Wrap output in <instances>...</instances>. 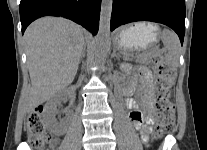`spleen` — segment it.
Listing matches in <instances>:
<instances>
[{"label":"spleen","instance_id":"obj_1","mask_svg":"<svg viewBox=\"0 0 207 150\" xmlns=\"http://www.w3.org/2000/svg\"><path fill=\"white\" fill-rule=\"evenodd\" d=\"M162 42L166 49L165 61L168 67L175 69L179 64L180 41L178 36L171 30L164 29L162 32Z\"/></svg>","mask_w":207,"mask_h":150}]
</instances>
